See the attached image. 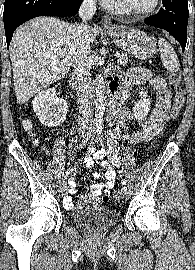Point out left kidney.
Instances as JSON below:
<instances>
[{"label": "left kidney", "instance_id": "left-kidney-1", "mask_svg": "<svg viewBox=\"0 0 195 270\" xmlns=\"http://www.w3.org/2000/svg\"><path fill=\"white\" fill-rule=\"evenodd\" d=\"M140 96L141 99L135 102L133 107V113L136 119L145 118L150 110V100L147 99V92H144L142 89V91H140Z\"/></svg>", "mask_w": 195, "mask_h": 270}]
</instances>
